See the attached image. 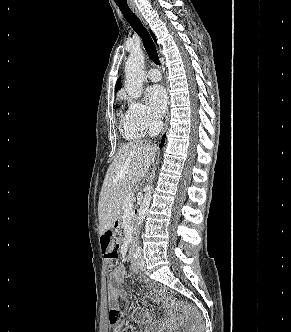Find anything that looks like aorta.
<instances>
[{
	"instance_id": "1",
	"label": "aorta",
	"mask_w": 291,
	"mask_h": 332,
	"mask_svg": "<svg viewBox=\"0 0 291 332\" xmlns=\"http://www.w3.org/2000/svg\"><path fill=\"white\" fill-rule=\"evenodd\" d=\"M144 62L145 56L143 52L134 51L130 53L125 64V88L127 93L135 99L140 98L142 94L143 82L145 77ZM152 190V185L146 186L145 195L138 211V226L140 227L142 226L144 219L148 213L151 202ZM136 253H141L140 246L136 247Z\"/></svg>"
}]
</instances>
